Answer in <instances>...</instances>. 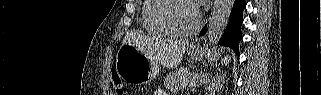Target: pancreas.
<instances>
[{
	"instance_id": "cf45deb5",
	"label": "pancreas",
	"mask_w": 321,
	"mask_h": 95,
	"mask_svg": "<svg viewBox=\"0 0 321 95\" xmlns=\"http://www.w3.org/2000/svg\"><path fill=\"white\" fill-rule=\"evenodd\" d=\"M206 82L207 80L201 79L197 74H191L187 70H177L166 77L164 86L174 91L191 90Z\"/></svg>"
}]
</instances>
